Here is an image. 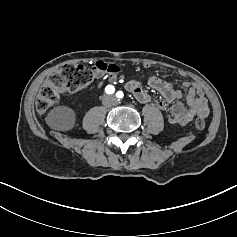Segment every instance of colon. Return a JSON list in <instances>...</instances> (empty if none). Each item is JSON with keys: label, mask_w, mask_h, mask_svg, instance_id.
<instances>
[{"label": "colon", "mask_w": 237, "mask_h": 237, "mask_svg": "<svg viewBox=\"0 0 237 237\" xmlns=\"http://www.w3.org/2000/svg\"><path fill=\"white\" fill-rule=\"evenodd\" d=\"M120 71L118 65L107 61H97L91 68L78 64L60 65L48 75L42 85L36 99V109L43 113L58 103L62 93L79 91L98 76L116 77ZM195 127L200 131L204 130V119L197 118Z\"/></svg>", "instance_id": "colon-1"}]
</instances>
